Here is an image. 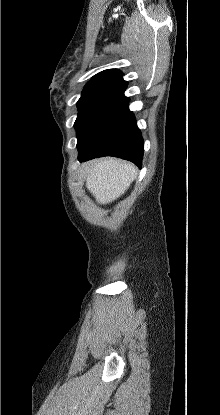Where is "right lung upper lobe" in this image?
I'll list each match as a JSON object with an SVG mask.
<instances>
[{"mask_svg":"<svg viewBox=\"0 0 220 415\" xmlns=\"http://www.w3.org/2000/svg\"><path fill=\"white\" fill-rule=\"evenodd\" d=\"M121 75H123V73L118 69H108L96 74L93 77V79L89 82L100 80H115L127 84V82L123 80Z\"/></svg>","mask_w":220,"mask_h":415,"instance_id":"1","label":"right lung upper lobe"}]
</instances>
